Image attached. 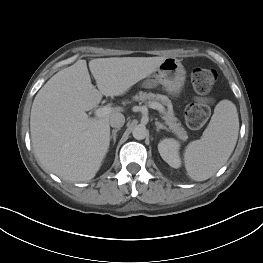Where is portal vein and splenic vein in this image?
Here are the masks:
<instances>
[{"mask_svg":"<svg viewBox=\"0 0 263 263\" xmlns=\"http://www.w3.org/2000/svg\"><path fill=\"white\" fill-rule=\"evenodd\" d=\"M148 106L152 109L158 110L159 112L163 111V106L159 103L151 102V103H149ZM112 110H113V108L109 105L103 106L101 108L96 109L95 116L98 118L104 117V116L110 114L112 112Z\"/></svg>","mask_w":263,"mask_h":263,"instance_id":"obj_1","label":"portal vein and splenic vein"}]
</instances>
